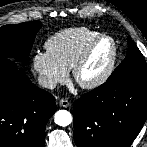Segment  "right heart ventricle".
<instances>
[{
  "label": "right heart ventricle",
  "mask_w": 147,
  "mask_h": 147,
  "mask_svg": "<svg viewBox=\"0 0 147 147\" xmlns=\"http://www.w3.org/2000/svg\"><path fill=\"white\" fill-rule=\"evenodd\" d=\"M98 34L88 27L68 28L51 36L45 42V48L57 62L70 70L86 45Z\"/></svg>",
  "instance_id": "right-heart-ventricle-1"
}]
</instances>
